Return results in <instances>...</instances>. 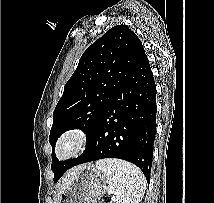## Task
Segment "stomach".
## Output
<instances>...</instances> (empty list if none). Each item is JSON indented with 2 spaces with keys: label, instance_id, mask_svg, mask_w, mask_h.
I'll use <instances>...</instances> for the list:
<instances>
[{
  "label": "stomach",
  "instance_id": "1",
  "mask_svg": "<svg viewBox=\"0 0 214 203\" xmlns=\"http://www.w3.org/2000/svg\"><path fill=\"white\" fill-rule=\"evenodd\" d=\"M105 173L91 164L81 166L73 181L60 192L57 203H97L108 190Z\"/></svg>",
  "mask_w": 214,
  "mask_h": 203
}]
</instances>
